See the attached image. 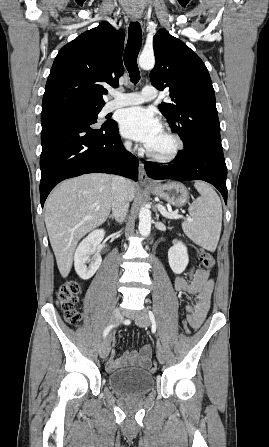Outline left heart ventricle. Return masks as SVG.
Wrapping results in <instances>:
<instances>
[{"label": "left heart ventricle", "instance_id": "left-heart-ventricle-1", "mask_svg": "<svg viewBox=\"0 0 269 447\" xmlns=\"http://www.w3.org/2000/svg\"><path fill=\"white\" fill-rule=\"evenodd\" d=\"M175 147L174 139L162 129L153 140L146 145L150 153L156 156H163L170 153Z\"/></svg>", "mask_w": 269, "mask_h": 447}]
</instances>
